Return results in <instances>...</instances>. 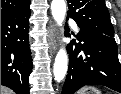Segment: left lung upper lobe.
<instances>
[{
	"label": "left lung upper lobe",
	"instance_id": "left-lung-upper-lobe-1",
	"mask_svg": "<svg viewBox=\"0 0 121 94\" xmlns=\"http://www.w3.org/2000/svg\"><path fill=\"white\" fill-rule=\"evenodd\" d=\"M68 16L73 18L79 28L105 36L114 37L105 0H67Z\"/></svg>",
	"mask_w": 121,
	"mask_h": 94
}]
</instances>
